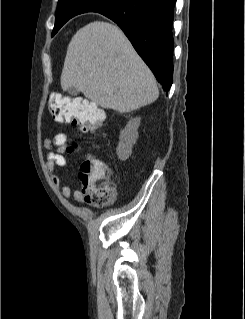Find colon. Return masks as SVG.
Instances as JSON below:
<instances>
[{
    "label": "colon",
    "instance_id": "1",
    "mask_svg": "<svg viewBox=\"0 0 245 319\" xmlns=\"http://www.w3.org/2000/svg\"><path fill=\"white\" fill-rule=\"evenodd\" d=\"M49 108L57 121L71 123L82 134L100 128L105 119L103 111L94 104L58 94L50 97ZM109 175L107 166L98 157L83 158L79 171L80 191L88 203L103 207L113 202L116 187Z\"/></svg>",
    "mask_w": 245,
    "mask_h": 319
}]
</instances>
